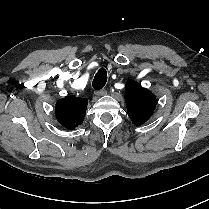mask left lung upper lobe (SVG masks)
<instances>
[{
  "instance_id": "obj_1",
  "label": "left lung upper lobe",
  "mask_w": 209,
  "mask_h": 209,
  "mask_svg": "<svg viewBox=\"0 0 209 209\" xmlns=\"http://www.w3.org/2000/svg\"><path fill=\"white\" fill-rule=\"evenodd\" d=\"M125 102L127 113L132 122L140 126L153 114L157 101L156 97L136 81L129 80L125 85Z\"/></svg>"
}]
</instances>
